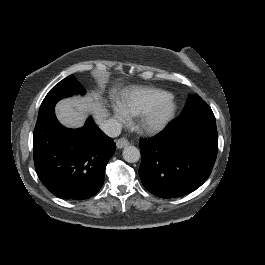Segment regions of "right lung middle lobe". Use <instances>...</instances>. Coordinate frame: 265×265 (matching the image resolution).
I'll use <instances>...</instances> for the list:
<instances>
[{"instance_id": "obj_1", "label": "right lung middle lobe", "mask_w": 265, "mask_h": 265, "mask_svg": "<svg viewBox=\"0 0 265 265\" xmlns=\"http://www.w3.org/2000/svg\"><path fill=\"white\" fill-rule=\"evenodd\" d=\"M79 93L84 94L85 89L73 75L63 79L48 92L41 104L38 116L54 108L60 99Z\"/></svg>"}]
</instances>
